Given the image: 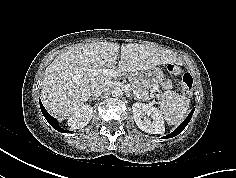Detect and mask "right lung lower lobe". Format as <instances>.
<instances>
[{"label":"right lung lower lobe","mask_w":236,"mask_h":178,"mask_svg":"<svg viewBox=\"0 0 236 178\" xmlns=\"http://www.w3.org/2000/svg\"><path fill=\"white\" fill-rule=\"evenodd\" d=\"M39 103H40L41 111H42L44 117L46 118V120L48 121V123H49L53 128H55L57 131L65 133L66 131L63 130V129L59 126L58 121H57L55 118H53V117L45 110V108H44V106L42 105L41 101H39Z\"/></svg>","instance_id":"obj_1"}]
</instances>
